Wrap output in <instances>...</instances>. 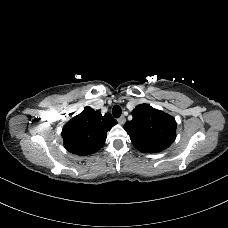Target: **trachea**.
<instances>
[{
    "label": "trachea",
    "mask_w": 228,
    "mask_h": 228,
    "mask_svg": "<svg viewBox=\"0 0 228 228\" xmlns=\"http://www.w3.org/2000/svg\"><path fill=\"white\" fill-rule=\"evenodd\" d=\"M112 114L115 118H119L122 114V109L119 105H115L112 109Z\"/></svg>",
    "instance_id": "obj_1"
}]
</instances>
